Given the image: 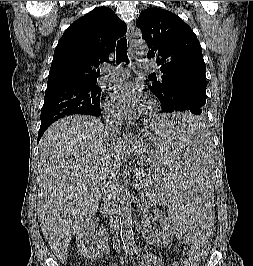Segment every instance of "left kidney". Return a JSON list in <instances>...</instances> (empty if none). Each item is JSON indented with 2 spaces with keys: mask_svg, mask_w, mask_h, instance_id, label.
Wrapping results in <instances>:
<instances>
[{
  "mask_svg": "<svg viewBox=\"0 0 253 266\" xmlns=\"http://www.w3.org/2000/svg\"><path fill=\"white\" fill-rule=\"evenodd\" d=\"M159 221L162 225L161 231H154L152 229H149L145 232L150 241L154 242V244L166 243L170 240L171 237L170 225L167 218L163 215H160Z\"/></svg>",
  "mask_w": 253,
  "mask_h": 266,
  "instance_id": "left-kidney-1",
  "label": "left kidney"
}]
</instances>
